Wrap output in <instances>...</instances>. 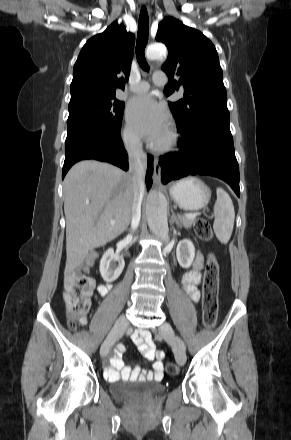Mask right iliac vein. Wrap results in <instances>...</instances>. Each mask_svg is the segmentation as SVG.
<instances>
[{"mask_svg":"<svg viewBox=\"0 0 291 440\" xmlns=\"http://www.w3.org/2000/svg\"><path fill=\"white\" fill-rule=\"evenodd\" d=\"M128 321L125 316H120L115 325L113 326L112 330L108 334L107 338L103 342L100 350L101 356H105L110 349L113 347L115 342L121 337L125 329L127 328Z\"/></svg>","mask_w":291,"mask_h":440,"instance_id":"obj_1","label":"right iliac vein"}]
</instances>
